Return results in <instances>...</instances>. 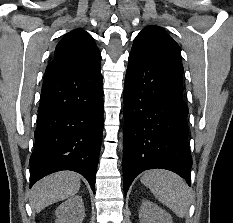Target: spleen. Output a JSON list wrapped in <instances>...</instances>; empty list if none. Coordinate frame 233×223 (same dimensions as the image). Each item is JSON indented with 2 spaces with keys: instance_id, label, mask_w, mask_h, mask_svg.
<instances>
[{
  "instance_id": "1",
  "label": "spleen",
  "mask_w": 233,
  "mask_h": 223,
  "mask_svg": "<svg viewBox=\"0 0 233 223\" xmlns=\"http://www.w3.org/2000/svg\"><path fill=\"white\" fill-rule=\"evenodd\" d=\"M141 181L151 189L158 201L167 205L178 217L187 215L190 189L182 177L166 169H149L142 175Z\"/></svg>"
}]
</instances>
